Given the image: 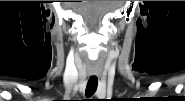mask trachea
Instances as JSON below:
<instances>
[{"label": "trachea", "instance_id": "obj_1", "mask_svg": "<svg viewBox=\"0 0 185 101\" xmlns=\"http://www.w3.org/2000/svg\"><path fill=\"white\" fill-rule=\"evenodd\" d=\"M98 81L97 78H90L86 86V96L91 97L97 90Z\"/></svg>", "mask_w": 185, "mask_h": 101}]
</instances>
